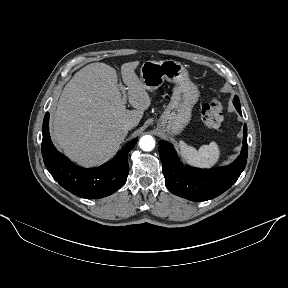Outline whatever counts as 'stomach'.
Returning <instances> with one entry per match:
<instances>
[{
	"instance_id": "0dacf381",
	"label": "stomach",
	"mask_w": 288,
	"mask_h": 288,
	"mask_svg": "<svg viewBox=\"0 0 288 288\" xmlns=\"http://www.w3.org/2000/svg\"><path fill=\"white\" fill-rule=\"evenodd\" d=\"M140 80L146 90L158 89L163 82L174 83L171 101L158 121V128L168 135H177L188 125L192 108L198 101L197 86L189 79L187 69L175 60L146 61L140 69Z\"/></svg>"
}]
</instances>
